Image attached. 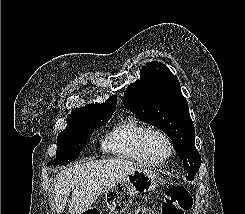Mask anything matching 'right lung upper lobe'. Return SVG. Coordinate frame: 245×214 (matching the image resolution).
I'll return each mask as SVG.
<instances>
[{"label": "right lung upper lobe", "instance_id": "1", "mask_svg": "<svg viewBox=\"0 0 245 214\" xmlns=\"http://www.w3.org/2000/svg\"><path fill=\"white\" fill-rule=\"evenodd\" d=\"M117 98L113 95L103 104H90L85 107L77 108L72 111L71 114L67 117V126L71 120L78 116L90 115V114H110L113 113L116 109Z\"/></svg>", "mask_w": 245, "mask_h": 214}]
</instances>
